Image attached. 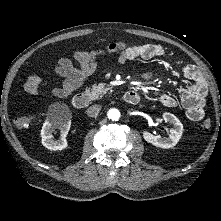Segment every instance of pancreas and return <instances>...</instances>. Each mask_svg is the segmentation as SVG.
Returning a JSON list of instances; mask_svg holds the SVG:
<instances>
[{
  "label": "pancreas",
  "mask_w": 221,
  "mask_h": 221,
  "mask_svg": "<svg viewBox=\"0 0 221 221\" xmlns=\"http://www.w3.org/2000/svg\"><path fill=\"white\" fill-rule=\"evenodd\" d=\"M109 90L104 83L94 84L91 88H86L84 95L88 96L91 100L99 99L103 94Z\"/></svg>",
  "instance_id": "cf45deb5"
}]
</instances>
